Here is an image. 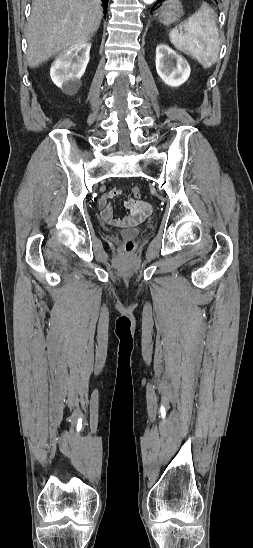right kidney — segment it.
<instances>
[{
    "instance_id": "right-kidney-1",
    "label": "right kidney",
    "mask_w": 253,
    "mask_h": 548,
    "mask_svg": "<svg viewBox=\"0 0 253 548\" xmlns=\"http://www.w3.org/2000/svg\"><path fill=\"white\" fill-rule=\"evenodd\" d=\"M90 48V43H78L57 56L50 69L56 86L68 93L77 91L89 62Z\"/></svg>"
}]
</instances>
